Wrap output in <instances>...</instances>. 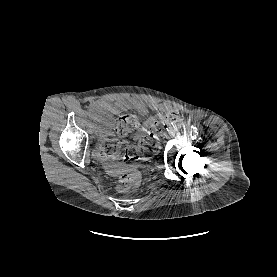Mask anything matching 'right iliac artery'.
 Segmentation results:
<instances>
[{"label":"right iliac artery","instance_id":"obj_1","mask_svg":"<svg viewBox=\"0 0 277 277\" xmlns=\"http://www.w3.org/2000/svg\"><path fill=\"white\" fill-rule=\"evenodd\" d=\"M89 118L92 121V126L97 127V125H98L97 121L92 116H90Z\"/></svg>","mask_w":277,"mask_h":277}]
</instances>
